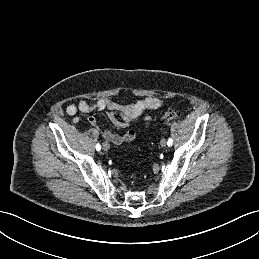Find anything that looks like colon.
<instances>
[{"mask_svg":"<svg viewBox=\"0 0 259 259\" xmlns=\"http://www.w3.org/2000/svg\"><path fill=\"white\" fill-rule=\"evenodd\" d=\"M179 117V113L177 111L174 110H169L164 112L161 117L160 120L162 123H169L175 119H177Z\"/></svg>","mask_w":259,"mask_h":259,"instance_id":"1","label":"colon"}]
</instances>
